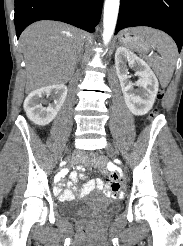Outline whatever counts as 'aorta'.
<instances>
[{"label": "aorta", "mask_w": 183, "mask_h": 246, "mask_svg": "<svg viewBox=\"0 0 183 246\" xmlns=\"http://www.w3.org/2000/svg\"><path fill=\"white\" fill-rule=\"evenodd\" d=\"M120 0H105L103 17V42L108 44L114 34Z\"/></svg>", "instance_id": "1"}]
</instances>
